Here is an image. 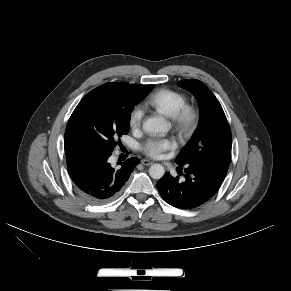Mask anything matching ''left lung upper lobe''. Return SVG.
Returning a JSON list of instances; mask_svg holds the SVG:
<instances>
[{
  "label": "left lung upper lobe",
  "instance_id": "5c2ea615",
  "mask_svg": "<svg viewBox=\"0 0 291 291\" xmlns=\"http://www.w3.org/2000/svg\"><path fill=\"white\" fill-rule=\"evenodd\" d=\"M178 84L195 95L199 102L200 116L193 136L180 151L175 162L180 166L203 162L228 169L232 136L219 101L199 80L185 79Z\"/></svg>",
  "mask_w": 291,
  "mask_h": 291
}]
</instances>
